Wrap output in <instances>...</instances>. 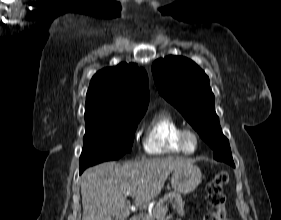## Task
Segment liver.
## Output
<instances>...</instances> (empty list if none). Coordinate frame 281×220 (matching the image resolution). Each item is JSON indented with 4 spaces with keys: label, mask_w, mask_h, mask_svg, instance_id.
Returning <instances> with one entry per match:
<instances>
[{
    "label": "liver",
    "mask_w": 281,
    "mask_h": 220,
    "mask_svg": "<svg viewBox=\"0 0 281 220\" xmlns=\"http://www.w3.org/2000/svg\"><path fill=\"white\" fill-rule=\"evenodd\" d=\"M180 157L106 162L88 168L81 176L82 220H126L130 204L126 192H134L135 205L147 204L161 192L170 173L193 165Z\"/></svg>",
    "instance_id": "6515ba94"
}]
</instances>
